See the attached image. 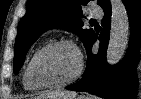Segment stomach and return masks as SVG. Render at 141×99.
<instances>
[{"label":"stomach","mask_w":141,"mask_h":99,"mask_svg":"<svg viewBox=\"0 0 141 99\" xmlns=\"http://www.w3.org/2000/svg\"><path fill=\"white\" fill-rule=\"evenodd\" d=\"M35 99H46V98H40V97H37V98H35ZM80 99H86V98L83 96V97L80 98Z\"/></svg>","instance_id":"0dacf381"}]
</instances>
